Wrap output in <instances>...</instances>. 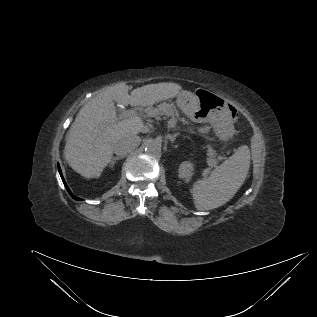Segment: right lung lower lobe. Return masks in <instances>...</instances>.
I'll return each mask as SVG.
<instances>
[{"instance_id": "right-lung-lower-lobe-1", "label": "right lung lower lobe", "mask_w": 317, "mask_h": 317, "mask_svg": "<svg viewBox=\"0 0 317 317\" xmlns=\"http://www.w3.org/2000/svg\"><path fill=\"white\" fill-rule=\"evenodd\" d=\"M58 170H59L60 176H61V178H62V181H63V183H64V185H65L67 191L69 192V194H70L74 199L80 200V198H78V197H76L75 195L72 194V192L70 191L69 187L67 186V184H66V182H65V180H64V178H63V175H62L60 166H58Z\"/></svg>"}]
</instances>
